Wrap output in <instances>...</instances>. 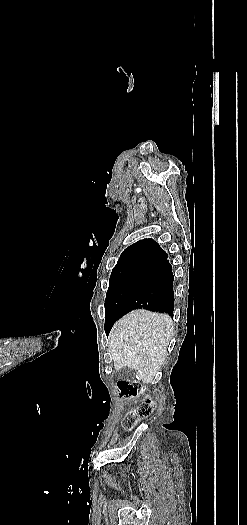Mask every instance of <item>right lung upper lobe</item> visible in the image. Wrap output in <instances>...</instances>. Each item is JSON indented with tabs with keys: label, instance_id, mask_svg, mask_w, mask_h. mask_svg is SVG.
I'll return each instance as SVG.
<instances>
[{
	"label": "right lung upper lobe",
	"instance_id": "right-lung-upper-lobe-1",
	"mask_svg": "<svg viewBox=\"0 0 247 525\" xmlns=\"http://www.w3.org/2000/svg\"><path fill=\"white\" fill-rule=\"evenodd\" d=\"M164 251L153 239H143L125 249L113 271H123L143 265L148 259Z\"/></svg>",
	"mask_w": 247,
	"mask_h": 525
}]
</instances>
